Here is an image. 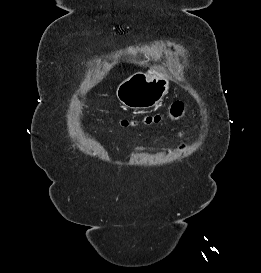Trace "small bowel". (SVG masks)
Returning <instances> with one entry per match:
<instances>
[{"label":"small bowel","mask_w":261,"mask_h":273,"mask_svg":"<svg viewBox=\"0 0 261 273\" xmlns=\"http://www.w3.org/2000/svg\"><path fill=\"white\" fill-rule=\"evenodd\" d=\"M184 147H185L184 144H181L180 149H184ZM137 151H143V148L140 147V148L137 149Z\"/></svg>","instance_id":"obj_1"}]
</instances>
